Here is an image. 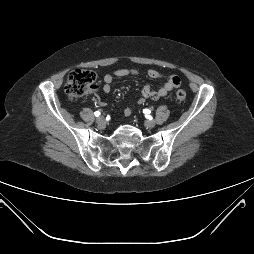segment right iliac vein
Segmentation results:
<instances>
[{
    "mask_svg": "<svg viewBox=\"0 0 254 254\" xmlns=\"http://www.w3.org/2000/svg\"><path fill=\"white\" fill-rule=\"evenodd\" d=\"M96 123L98 125H104L105 124V118L103 116H100L96 119Z\"/></svg>",
    "mask_w": 254,
    "mask_h": 254,
    "instance_id": "1",
    "label": "right iliac vein"
}]
</instances>
